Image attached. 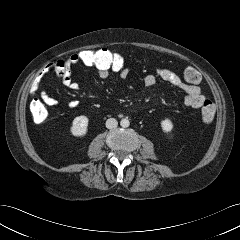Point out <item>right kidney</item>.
Wrapping results in <instances>:
<instances>
[{
	"label": "right kidney",
	"mask_w": 240,
	"mask_h": 240,
	"mask_svg": "<svg viewBox=\"0 0 240 240\" xmlns=\"http://www.w3.org/2000/svg\"><path fill=\"white\" fill-rule=\"evenodd\" d=\"M88 117L81 115L74 118L72 122V126L70 128V132L73 136L83 137L87 134L88 130Z\"/></svg>",
	"instance_id": "right-kidney-1"
}]
</instances>
